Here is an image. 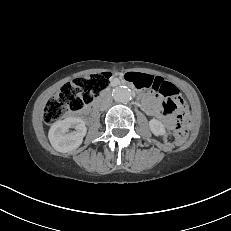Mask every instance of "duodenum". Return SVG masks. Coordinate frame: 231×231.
<instances>
[{
	"mask_svg": "<svg viewBox=\"0 0 231 231\" xmlns=\"http://www.w3.org/2000/svg\"><path fill=\"white\" fill-rule=\"evenodd\" d=\"M141 97H142V99H143V94H141ZM143 100H144V99H143ZM144 101H145V100H144ZM98 107H99V104L96 103V104L91 108L90 112L96 111V110L98 109Z\"/></svg>",
	"mask_w": 231,
	"mask_h": 231,
	"instance_id": "obj_1",
	"label": "duodenum"
}]
</instances>
